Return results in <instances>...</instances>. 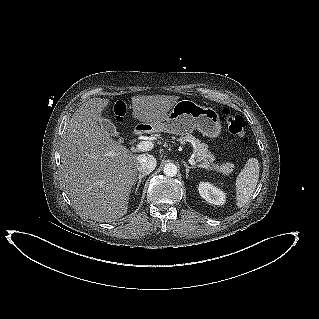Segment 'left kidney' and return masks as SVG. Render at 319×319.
Listing matches in <instances>:
<instances>
[{"label": "left kidney", "instance_id": "5707ae66", "mask_svg": "<svg viewBox=\"0 0 319 319\" xmlns=\"http://www.w3.org/2000/svg\"><path fill=\"white\" fill-rule=\"evenodd\" d=\"M198 190L200 196L211 204L223 205L225 202L224 193L209 182L200 183Z\"/></svg>", "mask_w": 319, "mask_h": 319}]
</instances>
